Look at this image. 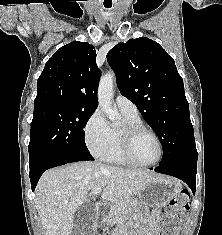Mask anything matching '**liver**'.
Returning <instances> with one entry per match:
<instances>
[{
	"label": "liver",
	"instance_id": "obj_1",
	"mask_svg": "<svg viewBox=\"0 0 222 235\" xmlns=\"http://www.w3.org/2000/svg\"><path fill=\"white\" fill-rule=\"evenodd\" d=\"M157 178L152 172L99 162H77L46 171L37 184L34 200L45 235H71L74 215L94 188H103L102 198L118 204L132 199ZM90 196L95 198L94 194Z\"/></svg>",
	"mask_w": 222,
	"mask_h": 235
}]
</instances>
